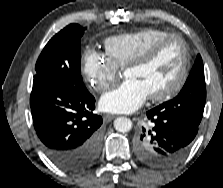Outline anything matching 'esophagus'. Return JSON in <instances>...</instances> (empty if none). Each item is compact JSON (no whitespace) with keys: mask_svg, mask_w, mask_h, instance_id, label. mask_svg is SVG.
<instances>
[{"mask_svg":"<svg viewBox=\"0 0 223 188\" xmlns=\"http://www.w3.org/2000/svg\"><path fill=\"white\" fill-rule=\"evenodd\" d=\"M114 118H116L115 115L106 114V115H104L103 120H104V122H110V121H112Z\"/></svg>","mask_w":223,"mask_h":188,"instance_id":"1","label":"esophagus"}]
</instances>
